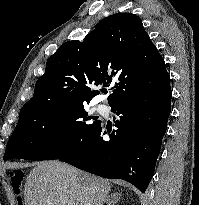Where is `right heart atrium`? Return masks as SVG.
<instances>
[{
	"mask_svg": "<svg viewBox=\"0 0 199 205\" xmlns=\"http://www.w3.org/2000/svg\"><path fill=\"white\" fill-rule=\"evenodd\" d=\"M57 132H62L64 130V126L63 125H59L56 127Z\"/></svg>",
	"mask_w": 199,
	"mask_h": 205,
	"instance_id": "d8ad5b80",
	"label": "right heart atrium"
}]
</instances>
